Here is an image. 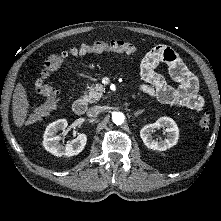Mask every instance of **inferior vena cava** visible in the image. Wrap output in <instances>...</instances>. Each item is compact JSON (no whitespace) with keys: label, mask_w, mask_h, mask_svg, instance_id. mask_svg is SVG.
<instances>
[{"label":"inferior vena cava","mask_w":221,"mask_h":221,"mask_svg":"<svg viewBox=\"0 0 221 221\" xmlns=\"http://www.w3.org/2000/svg\"><path fill=\"white\" fill-rule=\"evenodd\" d=\"M100 112H101V109L99 106H93L88 109L87 116L94 117V116H97L98 114H100Z\"/></svg>","instance_id":"602c4592"}]
</instances>
